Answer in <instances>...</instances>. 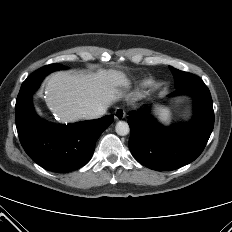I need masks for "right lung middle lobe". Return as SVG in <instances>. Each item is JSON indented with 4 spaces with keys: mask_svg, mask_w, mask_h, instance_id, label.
I'll use <instances>...</instances> for the list:
<instances>
[{
    "mask_svg": "<svg viewBox=\"0 0 232 232\" xmlns=\"http://www.w3.org/2000/svg\"><path fill=\"white\" fill-rule=\"evenodd\" d=\"M66 68L65 66L55 63V64H50L47 66H44L35 72H33L24 82L23 84H28L35 82L37 80H42L47 74H49L52 71L59 70V69H64Z\"/></svg>",
    "mask_w": 232,
    "mask_h": 232,
    "instance_id": "dd1d6c3e",
    "label": "right lung middle lobe"
}]
</instances>
